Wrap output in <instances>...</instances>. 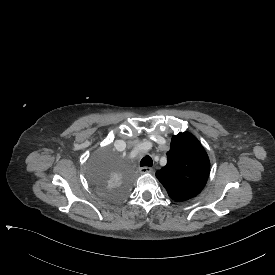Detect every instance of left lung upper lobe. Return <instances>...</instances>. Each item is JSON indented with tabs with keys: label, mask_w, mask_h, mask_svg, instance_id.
<instances>
[{
	"label": "left lung upper lobe",
	"mask_w": 275,
	"mask_h": 275,
	"mask_svg": "<svg viewBox=\"0 0 275 275\" xmlns=\"http://www.w3.org/2000/svg\"><path fill=\"white\" fill-rule=\"evenodd\" d=\"M209 171L203 146L191 133L184 132L172 137L167 164L156 172V177L171 199L185 201L201 192Z\"/></svg>",
	"instance_id": "obj_1"
}]
</instances>
